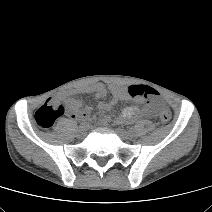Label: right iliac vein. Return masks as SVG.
Wrapping results in <instances>:
<instances>
[{
    "instance_id": "63e3f726",
    "label": "right iliac vein",
    "mask_w": 212,
    "mask_h": 212,
    "mask_svg": "<svg viewBox=\"0 0 212 212\" xmlns=\"http://www.w3.org/2000/svg\"><path fill=\"white\" fill-rule=\"evenodd\" d=\"M86 133V127H79V129L77 130V135L79 137H83Z\"/></svg>"
}]
</instances>
